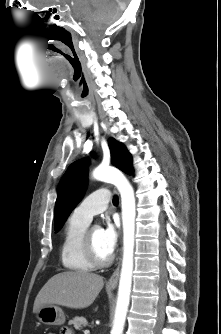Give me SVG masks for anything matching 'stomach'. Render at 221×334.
Segmentation results:
<instances>
[{
	"mask_svg": "<svg viewBox=\"0 0 221 334\" xmlns=\"http://www.w3.org/2000/svg\"><path fill=\"white\" fill-rule=\"evenodd\" d=\"M37 319L46 325H63L65 323V314L63 310L56 305H47L36 312Z\"/></svg>",
	"mask_w": 221,
	"mask_h": 334,
	"instance_id": "obj_1",
	"label": "stomach"
}]
</instances>
